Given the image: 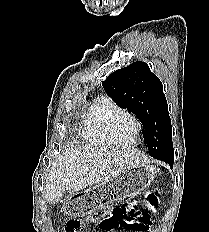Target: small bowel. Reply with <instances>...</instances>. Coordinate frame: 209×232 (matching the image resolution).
<instances>
[{"instance_id":"c3829d8e","label":"small bowel","mask_w":209,"mask_h":232,"mask_svg":"<svg viewBox=\"0 0 209 232\" xmlns=\"http://www.w3.org/2000/svg\"><path fill=\"white\" fill-rule=\"evenodd\" d=\"M137 205L136 201H130L128 208L129 209H134L135 206ZM149 226H145L142 228H137V229H125V228H113V229H103L101 228V230L105 231V232H129V231H140V232H144L148 230Z\"/></svg>"}]
</instances>
